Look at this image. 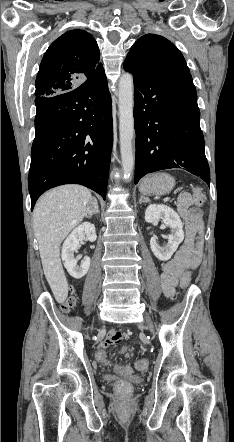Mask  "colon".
Here are the masks:
<instances>
[{
	"mask_svg": "<svg viewBox=\"0 0 234 442\" xmlns=\"http://www.w3.org/2000/svg\"><path fill=\"white\" fill-rule=\"evenodd\" d=\"M205 201V194L202 191V189L200 187H196L194 189V194H193V203L196 207H201L203 205ZM204 259L203 256L201 254V247L200 245H197L196 247V253L194 256V261L192 263L193 268L198 269L200 268L201 264H203ZM191 281V276L189 272H186L183 274L182 278H181V286L183 288H187L190 284ZM77 303V298L76 295L74 294V292L71 293V295L66 299L65 303L62 306V310L64 312H69L71 311ZM124 350H128V347H124ZM123 347H120L117 350V353L119 355H122L124 353ZM108 350L106 348L100 347L98 348V350H96L95 355H96V359L103 363V364H107L109 365V359H108ZM113 369L117 374L120 375H129L132 372V368L128 365L127 361H122L121 364L117 363V364H113ZM136 367L138 369H144L146 367V362H145V358L144 357H139L138 361L136 363ZM114 387L115 389H118L119 392L121 393H127L129 391V389L132 388V381L131 380H115L114 382Z\"/></svg>",
	"mask_w": 234,
	"mask_h": 442,
	"instance_id": "obj_1",
	"label": "colon"
}]
</instances>
